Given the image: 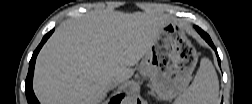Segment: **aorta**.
Segmentation results:
<instances>
[{
  "label": "aorta",
  "instance_id": "aorta-1",
  "mask_svg": "<svg viewBox=\"0 0 252 104\" xmlns=\"http://www.w3.org/2000/svg\"><path fill=\"white\" fill-rule=\"evenodd\" d=\"M136 102V99L134 96H126L123 99L124 104H134Z\"/></svg>",
  "mask_w": 252,
  "mask_h": 104
}]
</instances>
